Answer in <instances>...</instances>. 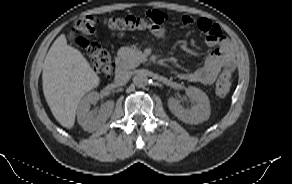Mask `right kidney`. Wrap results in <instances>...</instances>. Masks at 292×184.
Wrapping results in <instances>:
<instances>
[{"mask_svg": "<svg viewBox=\"0 0 292 184\" xmlns=\"http://www.w3.org/2000/svg\"><path fill=\"white\" fill-rule=\"evenodd\" d=\"M99 93L92 91L83 97L77 108V120L85 131L93 132L98 129L111 116L114 109V101H107L99 110H91L90 105L96 104Z\"/></svg>", "mask_w": 292, "mask_h": 184, "instance_id": "1", "label": "right kidney"}]
</instances>
